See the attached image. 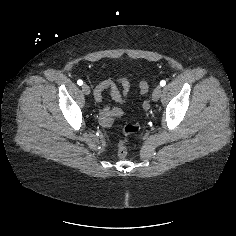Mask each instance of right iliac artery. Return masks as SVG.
Listing matches in <instances>:
<instances>
[{
    "instance_id": "right-iliac-artery-1",
    "label": "right iliac artery",
    "mask_w": 236,
    "mask_h": 236,
    "mask_svg": "<svg viewBox=\"0 0 236 236\" xmlns=\"http://www.w3.org/2000/svg\"><path fill=\"white\" fill-rule=\"evenodd\" d=\"M77 84H78L79 86H81V85L83 84V81L79 79V80L77 81Z\"/></svg>"
}]
</instances>
